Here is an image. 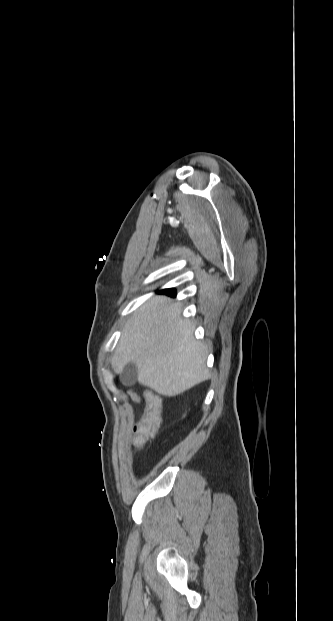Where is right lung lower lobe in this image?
<instances>
[{
    "mask_svg": "<svg viewBox=\"0 0 333 621\" xmlns=\"http://www.w3.org/2000/svg\"><path fill=\"white\" fill-rule=\"evenodd\" d=\"M161 293H166L168 295L174 296L175 295V289L174 288L165 289V290H162Z\"/></svg>",
    "mask_w": 333,
    "mask_h": 621,
    "instance_id": "right-lung-lower-lobe-1",
    "label": "right lung lower lobe"
}]
</instances>
